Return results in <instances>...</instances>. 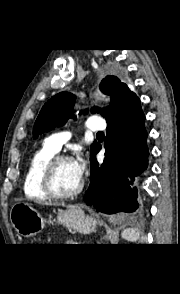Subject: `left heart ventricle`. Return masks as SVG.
<instances>
[{
	"mask_svg": "<svg viewBox=\"0 0 180 294\" xmlns=\"http://www.w3.org/2000/svg\"><path fill=\"white\" fill-rule=\"evenodd\" d=\"M81 180L76 176L71 161H64L56 168L53 185L60 193H68L75 190Z\"/></svg>",
	"mask_w": 180,
	"mask_h": 294,
	"instance_id": "left-heart-ventricle-1",
	"label": "left heart ventricle"
}]
</instances>
